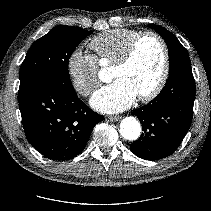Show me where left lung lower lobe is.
<instances>
[{"instance_id": "1", "label": "left lung lower lobe", "mask_w": 211, "mask_h": 211, "mask_svg": "<svg viewBox=\"0 0 211 211\" xmlns=\"http://www.w3.org/2000/svg\"><path fill=\"white\" fill-rule=\"evenodd\" d=\"M195 92L191 64L169 72L162 91L147 105L133 111L144 133L130 146V150L146 160L171 155L190 128Z\"/></svg>"}]
</instances>
